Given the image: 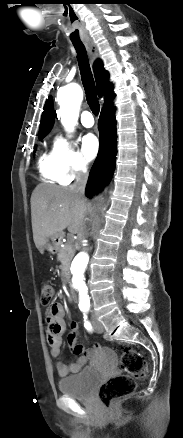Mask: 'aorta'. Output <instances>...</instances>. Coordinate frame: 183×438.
Wrapping results in <instances>:
<instances>
[{"instance_id": "762f6f07", "label": "aorta", "mask_w": 183, "mask_h": 438, "mask_svg": "<svg viewBox=\"0 0 183 438\" xmlns=\"http://www.w3.org/2000/svg\"><path fill=\"white\" fill-rule=\"evenodd\" d=\"M83 91L76 83H70L58 90L57 101L60 105L61 123L68 132H73L79 116ZM89 255L80 252L71 265V286L79 298V305H89L88 285L85 274L89 265Z\"/></svg>"}]
</instances>
